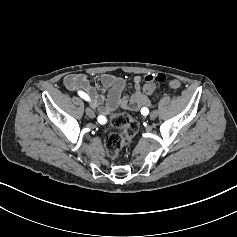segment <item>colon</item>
<instances>
[{
  "mask_svg": "<svg viewBox=\"0 0 237 237\" xmlns=\"http://www.w3.org/2000/svg\"><path fill=\"white\" fill-rule=\"evenodd\" d=\"M166 77L163 74H157L154 78L148 80L143 91L146 94L153 93L158 84H164ZM111 125L115 128L122 129V133H110L104 141L105 151L111 160L119 157L121 149L129 145L139 131V123L125 113H116L111 117Z\"/></svg>",
  "mask_w": 237,
  "mask_h": 237,
  "instance_id": "1",
  "label": "colon"
}]
</instances>
